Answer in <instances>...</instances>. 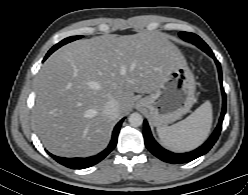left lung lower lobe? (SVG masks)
<instances>
[{"label":"left lung lower lobe","mask_w":248,"mask_h":195,"mask_svg":"<svg viewBox=\"0 0 248 195\" xmlns=\"http://www.w3.org/2000/svg\"><path fill=\"white\" fill-rule=\"evenodd\" d=\"M204 52H206L209 56H211L215 62L216 65L218 67V74H219V80H220V85H221V89H222V113L219 119V123L216 127V129L214 130V132L212 133V135L210 136V138L199 148L191 151V152H187V153H173L170 152L166 149H164L163 147H161L153 138L150 128L148 126L147 121H144V141H145V145L148 148V150L155 155L156 157H158L160 160L164 161V162H168V163H186V162H190L202 155H204L205 153H207L212 146L214 145V143L217 141L221 129H222V122L224 119V115L226 112V94L224 92V89L222 88V71H221V66L220 63L218 62V60L215 58L213 52L211 51V49L207 50V49H202Z\"/></svg>","instance_id":"0a47b994"}]
</instances>
